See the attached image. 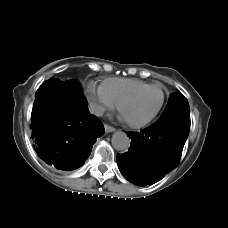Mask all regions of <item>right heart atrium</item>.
<instances>
[{"label": "right heart atrium", "instance_id": "obj_1", "mask_svg": "<svg viewBox=\"0 0 228 228\" xmlns=\"http://www.w3.org/2000/svg\"><path fill=\"white\" fill-rule=\"evenodd\" d=\"M87 95L96 113L100 114L114 108L113 102L104 94L101 87L96 90L93 85H89Z\"/></svg>", "mask_w": 228, "mask_h": 228}]
</instances>
